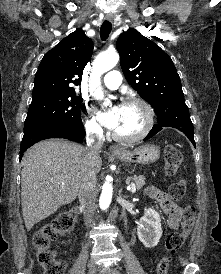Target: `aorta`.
<instances>
[{"instance_id": "1", "label": "aorta", "mask_w": 221, "mask_h": 274, "mask_svg": "<svg viewBox=\"0 0 221 274\" xmlns=\"http://www.w3.org/2000/svg\"><path fill=\"white\" fill-rule=\"evenodd\" d=\"M118 61L119 55L117 53L103 54L95 59L90 77V92L96 98L100 99L103 97L100 90L101 75L115 67ZM112 193V184L109 180H106L102 186V193L99 200V205L101 209H106L110 205Z\"/></svg>"}]
</instances>
